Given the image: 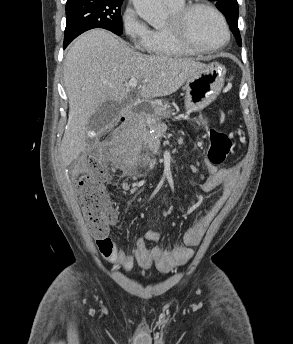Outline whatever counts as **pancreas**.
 <instances>
[{
    "instance_id": "cf45deb5",
    "label": "pancreas",
    "mask_w": 293,
    "mask_h": 344,
    "mask_svg": "<svg viewBox=\"0 0 293 344\" xmlns=\"http://www.w3.org/2000/svg\"><path fill=\"white\" fill-rule=\"evenodd\" d=\"M155 124H160V118L156 117L150 124H148L147 126H151L153 127ZM142 130H145V128H142Z\"/></svg>"
}]
</instances>
